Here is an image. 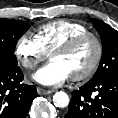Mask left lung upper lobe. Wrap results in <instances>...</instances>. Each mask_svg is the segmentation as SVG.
Listing matches in <instances>:
<instances>
[{"label": "left lung upper lobe", "instance_id": "obj_1", "mask_svg": "<svg viewBox=\"0 0 118 118\" xmlns=\"http://www.w3.org/2000/svg\"><path fill=\"white\" fill-rule=\"evenodd\" d=\"M102 41V57L100 65L90 80L96 82L108 76L118 74V31L101 20L92 19Z\"/></svg>", "mask_w": 118, "mask_h": 118}]
</instances>
